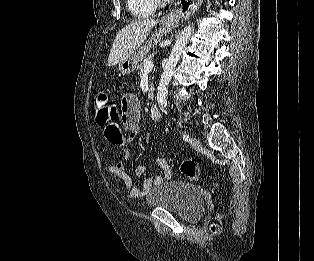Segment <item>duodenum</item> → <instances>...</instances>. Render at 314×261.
Returning a JSON list of instances; mask_svg holds the SVG:
<instances>
[{"instance_id": "410a0bca", "label": "duodenum", "mask_w": 314, "mask_h": 261, "mask_svg": "<svg viewBox=\"0 0 314 261\" xmlns=\"http://www.w3.org/2000/svg\"><path fill=\"white\" fill-rule=\"evenodd\" d=\"M150 118L153 121H158L160 119V111L156 104H153L150 107Z\"/></svg>"}]
</instances>
